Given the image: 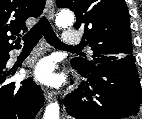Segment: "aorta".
<instances>
[{
  "label": "aorta",
  "instance_id": "762f6f07",
  "mask_svg": "<svg viewBox=\"0 0 142 119\" xmlns=\"http://www.w3.org/2000/svg\"><path fill=\"white\" fill-rule=\"evenodd\" d=\"M74 22V15L69 10H61L56 17L55 23L58 27L66 28ZM59 104L58 102L50 103L45 110L43 119H59Z\"/></svg>",
  "mask_w": 142,
  "mask_h": 119
}]
</instances>
